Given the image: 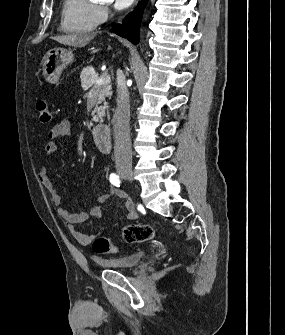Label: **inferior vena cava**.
<instances>
[{"label":"inferior vena cava","mask_w":285,"mask_h":335,"mask_svg":"<svg viewBox=\"0 0 285 335\" xmlns=\"http://www.w3.org/2000/svg\"><path fill=\"white\" fill-rule=\"evenodd\" d=\"M115 154L123 162H132L130 142V104L126 88L125 76L122 70L117 72V104L114 114Z\"/></svg>","instance_id":"602c4592"}]
</instances>
